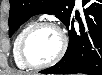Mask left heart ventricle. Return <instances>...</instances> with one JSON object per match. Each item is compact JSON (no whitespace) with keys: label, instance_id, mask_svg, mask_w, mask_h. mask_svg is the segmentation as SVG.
Returning <instances> with one entry per match:
<instances>
[{"label":"left heart ventricle","instance_id":"b2bd125f","mask_svg":"<svg viewBox=\"0 0 102 75\" xmlns=\"http://www.w3.org/2000/svg\"><path fill=\"white\" fill-rule=\"evenodd\" d=\"M61 47V38L58 32L51 27H42L37 30L27 45V53L34 62H48L52 60Z\"/></svg>","mask_w":102,"mask_h":75}]
</instances>
